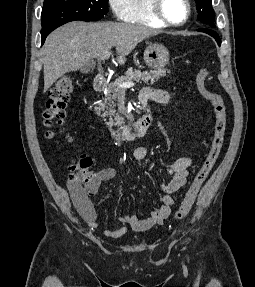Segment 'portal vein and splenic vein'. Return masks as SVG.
I'll return each mask as SVG.
<instances>
[{"instance_id":"portal-vein-and-splenic-vein-1","label":"portal vein and splenic vein","mask_w":255,"mask_h":287,"mask_svg":"<svg viewBox=\"0 0 255 287\" xmlns=\"http://www.w3.org/2000/svg\"><path fill=\"white\" fill-rule=\"evenodd\" d=\"M99 58L100 60H108V58H110V52H104ZM133 86H135L133 82H123V84H119V88H133Z\"/></svg>"}]
</instances>
